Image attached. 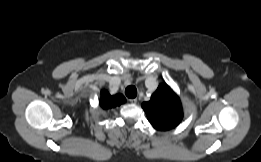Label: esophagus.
I'll return each instance as SVG.
<instances>
[{"instance_id": "34e87169", "label": "esophagus", "mask_w": 261, "mask_h": 162, "mask_svg": "<svg viewBox=\"0 0 261 162\" xmlns=\"http://www.w3.org/2000/svg\"><path fill=\"white\" fill-rule=\"evenodd\" d=\"M129 102L132 103V104H136L137 103V99L136 98L129 99Z\"/></svg>"}]
</instances>
